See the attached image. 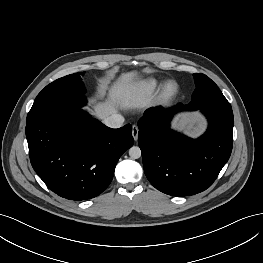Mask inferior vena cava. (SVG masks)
<instances>
[{"label":"inferior vena cava","instance_id":"obj_1","mask_svg":"<svg viewBox=\"0 0 263 263\" xmlns=\"http://www.w3.org/2000/svg\"><path fill=\"white\" fill-rule=\"evenodd\" d=\"M104 124L110 128H120L123 126L124 117L120 114H112L104 119Z\"/></svg>","mask_w":263,"mask_h":263}]
</instances>
